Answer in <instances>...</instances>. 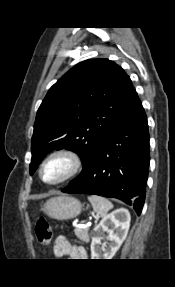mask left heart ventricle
I'll list each match as a JSON object with an SVG mask.
<instances>
[{
    "label": "left heart ventricle",
    "instance_id": "b2bd125f",
    "mask_svg": "<svg viewBox=\"0 0 175 287\" xmlns=\"http://www.w3.org/2000/svg\"><path fill=\"white\" fill-rule=\"evenodd\" d=\"M70 169V162L64 157L50 160L43 169V177L48 182L62 178Z\"/></svg>",
    "mask_w": 175,
    "mask_h": 287
}]
</instances>
